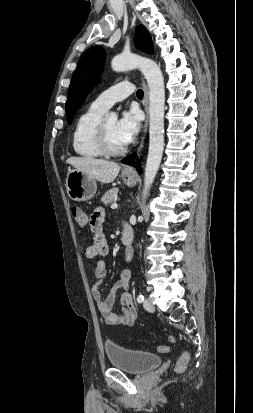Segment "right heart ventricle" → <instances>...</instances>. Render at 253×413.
Wrapping results in <instances>:
<instances>
[{"instance_id":"obj_1","label":"right heart ventricle","mask_w":253,"mask_h":413,"mask_svg":"<svg viewBox=\"0 0 253 413\" xmlns=\"http://www.w3.org/2000/svg\"><path fill=\"white\" fill-rule=\"evenodd\" d=\"M104 113L91 105L77 118L72 132V147L78 156L95 159L103 155L95 142V128Z\"/></svg>"}]
</instances>
